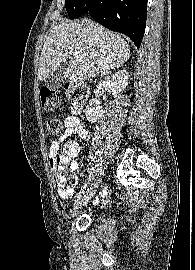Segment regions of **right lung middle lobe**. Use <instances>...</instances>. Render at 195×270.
<instances>
[{"instance_id":"1","label":"right lung middle lobe","mask_w":195,"mask_h":270,"mask_svg":"<svg viewBox=\"0 0 195 270\" xmlns=\"http://www.w3.org/2000/svg\"><path fill=\"white\" fill-rule=\"evenodd\" d=\"M65 7L70 19H75L88 11V0H65Z\"/></svg>"}]
</instances>
